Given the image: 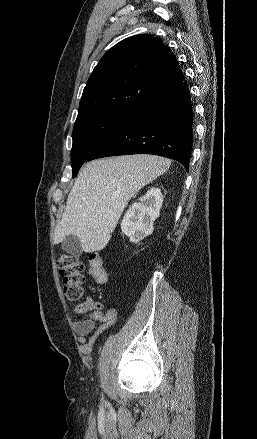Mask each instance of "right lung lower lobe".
<instances>
[{
  "label": "right lung lower lobe",
  "instance_id": "1",
  "mask_svg": "<svg viewBox=\"0 0 257 439\" xmlns=\"http://www.w3.org/2000/svg\"><path fill=\"white\" fill-rule=\"evenodd\" d=\"M192 143L191 98L186 82L182 81L128 115L86 162L116 155L155 154L179 161L188 171Z\"/></svg>",
  "mask_w": 257,
  "mask_h": 439
}]
</instances>
